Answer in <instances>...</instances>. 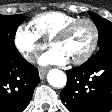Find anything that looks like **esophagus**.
<instances>
[{
  "label": "esophagus",
  "instance_id": "1",
  "mask_svg": "<svg viewBox=\"0 0 112 112\" xmlns=\"http://www.w3.org/2000/svg\"><path fill=\"white\" fill-rule=\"evenodd\" d=\"M45 75H46V69H40L39 70L40 79H44Z\"/></svg>",
  "mask_w": 112,
  "mask_h": 112
}]
</instances>
